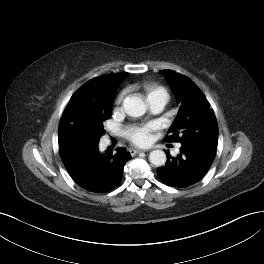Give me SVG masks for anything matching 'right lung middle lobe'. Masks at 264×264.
<instances>
[{
	"mask_svg": "<svg viewBox=\"0 0 264 264\" xmlns=\"http://www.w3.org/2000/svg\"><path fill=\"white\" fill-rule=\"evenodd\" d=\"M111 105L99 109L92 114L83 115L66 126L59 141L71 139L100 140L105 133L103 122L111 117Z\"/></svg>",
	"mask_w": 264,
	"mask_h": 264,
	"instance_id": "obj_1",
	"label": "right lung middle lobe"
}]
</instances>
